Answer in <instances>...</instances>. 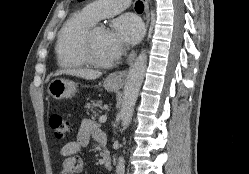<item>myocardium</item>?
Returning <instances> with one entry per match:
<instances>
[{"label": "myocardium", "instance_id": "obj_1", "mask_svg": "<svg viewBox=\"0 0 249 174\" xmlns=\"http://www.w3.org/2000/svg\"><path fill=\"white\" fill-rule=\"evenodd\" d=\"M93 32H94V29H89L83 41L82 54L86 62L98 68H107V67L112 66L113 62H103V61L98 60L94 56L93 54Z\"/></svg>", "mask_w": 249, "mask_h": 174}]
</instances>
